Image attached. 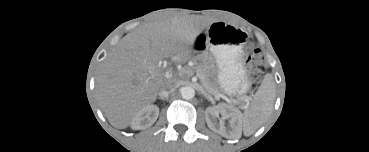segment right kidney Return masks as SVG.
<instances>
[{"label": "right kidney", "instance_id": "obj_1", "mask_svg": "<svg viewBox=\"0 0 369 152\" xmlns=\"http://www.w3.org/2000/svg\"><path fill=\"white\" fill-rule=\"evenodd\" d=\"M159 116V107L149 105L139 110L133 117L130 126L133 130H143L152 126Z\"/></svg>", "mask_w": 369, "mask_h": 152}]
</instances>
